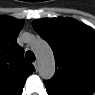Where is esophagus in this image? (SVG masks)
<instances>
[{
	"instance_id": "1",
	"label": "esophagus",
	"mask_w": 95,
	"mask_h": 95,
	"mask_svg": "<svg viewBox=\"0 0 95 95\" xmlns=\"http://www.w3.org/2000/svg\"><path fill=\"white\" fill-rule=\"evenodd\" d=\"M33 65H34V67H35V69H36V71L38 70V61H35L34 63H33Z\"/></svg>"
}]
</instances>
